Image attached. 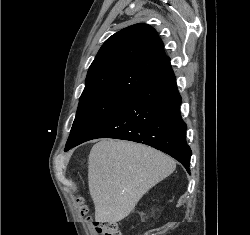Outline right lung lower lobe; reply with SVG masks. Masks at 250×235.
Listing matches in <instances>:
<instances>
[{
	"instance_id": "right-lung-lower-lobe-1",
	"label": "right lung lower lobe",
	"mask_w": 250,
	"mask_h": 235,
	"mask_svg": "<svg viewBox=\"0 0 250 235\" xmlns=\"http://www.w3.org/2000/svg\"><path fill=\"white\" fill-rule=\"evenodd\" d=\"M182 98L171 66L134 93L122 106L86 132L65 151L96 138L144 143L177 159L190 171L191 149L180 115Z\"/></svg>"
}]
</instances>
